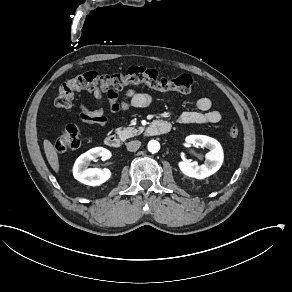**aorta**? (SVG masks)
Returning a JSON list of instances; mask_svg holds the SVG:
<instances>
[{"mask_svg":"<svg viewBox=\"0 0 292 292\" xmlns=\"http://www.w3.org/2000/svg\"><path fill=\"white\" fill-rule=\"evenodd\" d=\"M159 149H160V144H159L158 141H156V140L149 141V143H148V150L150 152L156 153V152L159 151Z\"/></svg>","mask_w":292,"mask_h":292,"instance_id":"1","label":"aorta"}]
</instances>
